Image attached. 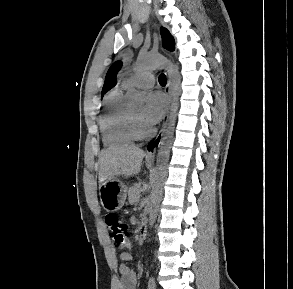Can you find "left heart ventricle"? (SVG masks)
<instances>
[{"mask_svg": "<svg viewBox=\"0 0 293 289\" xmlns=\"http://www.w3.org/2000/svg\"><path fill=\"white\" fill-rule=\"evenodd\" d=\"M133 116L136 118V120L140 123L142 128L148 129L149 127L144 123L143 121V110L142 108H136L131 111Z\"/></svg>", "mask_w": 293, "mask_h": 289, "instance_id": "b2bd125f", "label": "left heart ventricle"}]
</instances>
